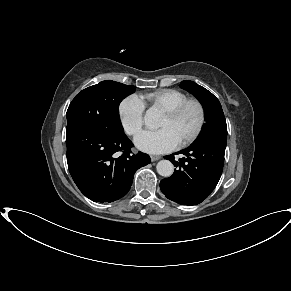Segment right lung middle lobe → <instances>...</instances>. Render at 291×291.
Segmentation results:
<instances>
[{
	"label": "right lung middle lobe",
	"instance_id": "right-lung-middle-lobe-1",
	"mask_svg": "<svg viewBox=\"0 0 291 291\" xmlns=\"http://www.w3.org/2000/svg\"><path fill=\"white\" fill-rule=\"evenodd\" d=\"M135 89L132 85L106 80L82 90L68 107L67 126H82L99 133L123 132L118 107Z\"/></svg>",
	"mask_w": 291,
	"mask_h": 291
}]
</instances>
